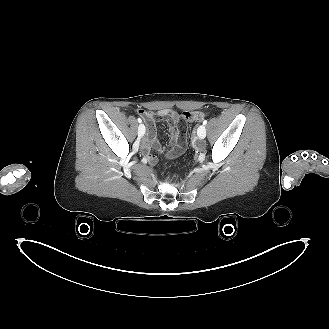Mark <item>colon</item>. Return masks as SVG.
I'll return each instance as SVG.
<instances>
[{"instance_id": "colon-1", "label": "colon", "mask_w": 329, "mask_h": 329, "mask_svg": "<svg viewBox=\"0 0 329 329\" xmlns=\"http://www.w3.org/2000/svg\"><path fill=\"white\" fill-rule=\"evenodd\" d=\"M183 113L184 121L189 123L199 122L206 116L203 111H183Z\"/></svg>"}]
</instances>
